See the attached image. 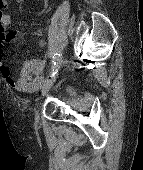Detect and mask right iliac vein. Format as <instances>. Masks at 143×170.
I'll use <instances>...</instances> for the list:
<instances>
[{"instance_id":"obj_1","label":"right iliac vein","mask_w":143,"mask_h":170,"mask_svg":"<svg viewBox=\"0 0 143 170\" xmlns=\"http://www.w3.org/2000/svg\"><path fill=\"white\" fill-rule=\"evenodd\" d=\"M55 81H56V78H52L49 80H45L43 82L42 96L45 95L50 90V88L53 86ZM35 118H36V120H38V118H39V104H37L36 109H35Z\"/></svg>"}]
</instances>
